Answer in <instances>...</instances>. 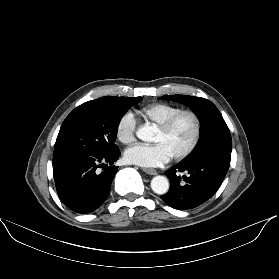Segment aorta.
<instances>
[{
    "instance_id": "obj_1",
    "label": "aorta",
    "mask_w": 279,
    "mask_h": 279,
    "mask_svg": "<svg viewBox=\"0 0 279 279\" xmlns=\"http://www.w3.org/2000/svg\"><path fill=\"white\" fill-rule=\"evenodd\" d=\"M153 129L150 126H141L137 131H136V136L142 140L149 142L153 139ZM151 188L152 190L159 195H163L168 192L169 190V181L166 177L158 175L155 176L151 180Z\"/></svg>"
}]
</instances>
